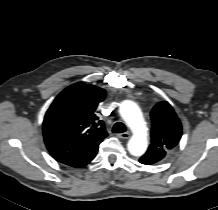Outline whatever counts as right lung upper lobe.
Segmentation results:
<instances>
[{
	"instance_id": "1",
	"label": "right lung upper lobe",
	"mask_w": 218,
	"mask_h": 210,
	"mask_svg": "<svg viewBox=\"0 0 218 210\" xmlns=\"http://www.w3.org/2000/svg\"><path fill=\"white\" fill-rule=\"evenodd\" d=\"M105 96L104 89L83 82L64 89L45 114L44 138L61 139L78 145L101 143L107 132L104 122L96 114V108Z\"/></svg>"
}]
</instances>
